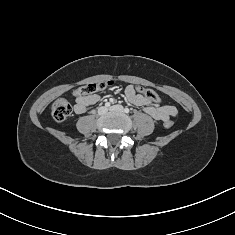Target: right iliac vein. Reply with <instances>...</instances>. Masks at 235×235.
<instances>
[{
    "instance_id": "obj_1",
    "label": "right iliac vein",
    "mask_w": 235,
    "mask_h": 235,
    "mask_svg": "<svg viewBox=\"0 0 235 235\" xmlns=\"http://www.w3.org/2000/svg\"><path fill=\"white\" fill-rule=\"evenodd\" d=\"M107 108L106 107H100L99 109H98V114L99 115H104V114H106L107 113Z\"/></svg>"
}]
</instances>
